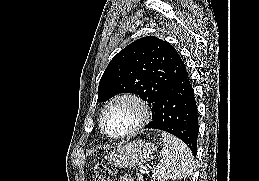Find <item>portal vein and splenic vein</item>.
Segmentation results:
<instances>
[{
  "label": "portal vein and splenic vein",
  "mask_w": 259,
  "mask_h": 181,
  "mask_svg": "<svg viewBox=\"0 0 259 181\" xmlns=\"http://www.w3.org/2000/svg\"><path fill=\"white\" fill-rule=\"evenodd\" d=\"M143 172H148V168L147 167H142L141 169Z\"/></svg>",
  "instance_id": "18ae733b"
}]
</instances>
